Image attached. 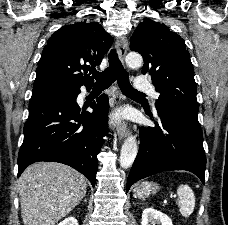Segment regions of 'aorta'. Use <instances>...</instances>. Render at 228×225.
I'll list each match as a JSON object with an SVG mask.
<instances>
[{
	"mask_svg": "<svg viewBox=\"0 0 228 225\" xmlns=\"http://www.w3.org/2000/svg\"><path fill=\"white\" fill-rule=\"evenodd\" d=\"M126 62L128 66L136 68V66H141V64H143V58L138 52H129L126 56ZM137 153L138 147L136 137H127L121 149L120 167H122V169H129V167L133 165Z\"/></svg>",
	"mask_w": 228,
	"mask_h": 225,
	"instance_id": "762f6f07",
	"label": "aorta"
}]
</instances>
